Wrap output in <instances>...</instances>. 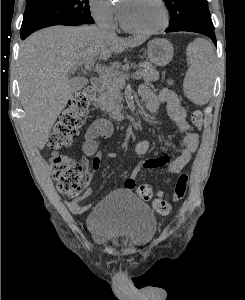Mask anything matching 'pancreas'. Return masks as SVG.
Here are the masks:
<instances>
[{
    "mask_svg": "<svg viewBox=\"0 0 245 300\" xmlns=\"http://www.w3.org/2000/svg\"><path fill=\"white\" fill-rule=\"evenodd\" d=\"M139 68V78H142L146 83L158 80L159 72L149 62L140 63ZM102 78L106 85V91L100 96L99 104L112 119L121 120L123 118L121 113L123 105L121 104L122 95L120 92L125 84L127 75L112 69L103 74Z\"/></svg>",
    "mask_w": 245,
    "mask_h": 300,
    "instance_id": "pancreas-1",
    "label": "pancreas"
}]
</instances>
